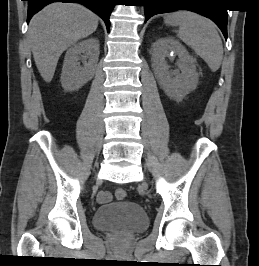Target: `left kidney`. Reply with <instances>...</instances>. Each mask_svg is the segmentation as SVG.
Listing matches in <instances>:
<instances>
[{
	"instance_id": "1",
	"label": "left kidney",
	"mask_w": 259,
	"mask_h": 266,
	"mask_svg": "<svg viewBox=\"0 0 259 266\" xmlns=\"http://www.w3.org/2000/svg\"><path fill=\"white\" fill-rule=\"evenodd\" d=\"M174 53L178 56L176 65L181 74L170 72L165 58ZM152 67L158 82L167 96L182 99L197 87L199 74L196 71V59L173 37H162L152 45Z\"/></svg>"
}]
</instances>
